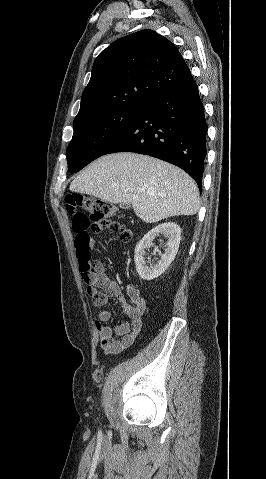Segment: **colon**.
<instances>
[{
    "mask_svg": "<svg viewBox=\"0 0 266 479\" xmlns=\"http://www.w3.org/2000/svg\"><path fill=\"white\" fill-rule=\"evenodd\" d=\"M65 208L72 216L78 270L86 285L87 294L93 299L97 294V288L94 284L89 231L95 235L109 232L117 235L122 242L131 239V232L123 223L113 218L117 214V209L107 201L79 193H69L65 197Z\"/></svg>",
    "mask_w": 266,
    "mask_h": 479,
    "instance_id": "1",
    "label": "colon"
}]
</instances>
